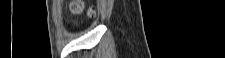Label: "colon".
Listing matches in <instances>:
<instances>
[{"instance_id": "5ec220e1", "label": "colon", "mask_w": 225, "mask_h": 58, "mask_svg": "<svg viewBox=\"0 0 225 58\" xmlns=\"http://www.w3.org/2000/svg\"><path fill=\"white\" fill-rule=\"evenodd\" d=\"M83 8V2L82 1H75L72 6L73 12H80Z\"/></svg>"}]
</instances>
